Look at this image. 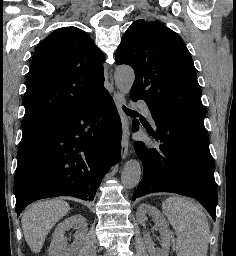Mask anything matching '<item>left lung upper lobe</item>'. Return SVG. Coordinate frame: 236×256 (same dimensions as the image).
<instances>
[{"label": "left lung upper lobe", "instance_id": "left-lung-upper-lobe-1", "mask_svg": "<svg viewBox=\"0 0 236 256\" xmlns=\"http://www.w3.org/2000/svg\"><path fill=\"white\" fill-rule=\"evenodd\" d=\"M116 62L134 69L131 98L143 99L150 112L205 129L195 67L178 34L158 21L137 20L122 37Z\"/></svg>", "mask_w": 236, "mask_h": 256}]
</instances>
